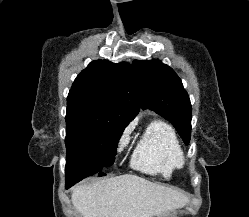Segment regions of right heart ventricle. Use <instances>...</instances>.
<instances>
[{"mask_svg":"<svg viewBox=\"0 0 249 217\" xmlns=\"http://www.w3.org/2000/svg\"><path fill=\"white\" fill-rule=\"evenodd\" d=\"M184 152L174 129L162 120L149 123L131 159L133 168L171 179L184 166Z\"/></svg>","mask_w":249,"mask_h":217,"instance_id":"e07e8e85","label":"right heart ventricle"}]
</instances>
